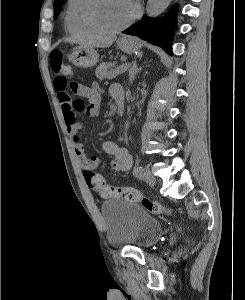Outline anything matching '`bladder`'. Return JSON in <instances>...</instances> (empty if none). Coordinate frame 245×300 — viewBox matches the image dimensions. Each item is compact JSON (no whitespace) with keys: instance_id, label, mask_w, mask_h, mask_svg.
<instances>
[{"instance_id":"bladder-1","label":"bladder","mask_w":245,"mask_h":300,"mask_svg":"<svg viewBox=\"0 0 245 300\" xmlns=\"http://www.w3.org/2000/svg\"><path fill=\"white\" fill-rule=\"evenodd\" d=\"M101 213L111 247L146 249L155 245L161 237V223L134 202L111 199L103 203Z\"/></svg>"}]
</instances>
